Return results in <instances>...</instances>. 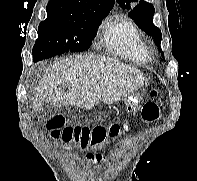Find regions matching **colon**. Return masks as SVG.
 Wrapping results in <instances>:
<instances>
[{
  "label": "colon",
  "mask_w": 197,
  "mask_h": 181,
  "mask_svg": "<svg viewBox=\"0 0 197 181\" xmlns=\"http://www.w3.org/2000/svg\"><path fill=\"white\" fill-rule=\"evenodd\" d=\"M152 97L158 95L157 89L150 92ZM161 107L156 101L145 103L141 110V118L145 124H149L160 117ZM65 117L57 116L47 123V129L54 140H61L66 146L71 143L85 149L88 146L102 147L109 137L117 136L122 131H127L126 124H112L109 127L97 126L89 128L86 126H65Z\"/></svg>",
  "instance_id": "1"
}]
</instances>
